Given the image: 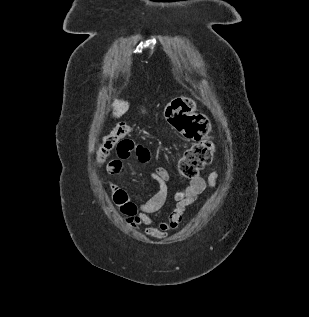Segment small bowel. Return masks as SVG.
Segmentation results:
<instances>
[{
	"mask_svg": "<svg viewBox=\"0 0 309 317\" xmlns=\"http://www.w3.org/2000/svg\"><path fill=\"white\" fill-rule=\"evenodd\" d=\"M134 148V145L130 141L125 143L124 150L118 151L119 157L107 164L106 170L109 176H120L124 173L125 161L131 155L135 154ZM135 155L143 164H147L150 161V153L146 148L142 154ZM219 176L220 170H215L209 174L207 179L203 177L195 178L191 180L185 190L171 193L168 185L169 175L167 171L160 164H156L151 172V177L157 182L158 190L141 205H137L132 201L127 191L119 185L109 182L108 188L112 201L120 213L123 214L126 223L130 227L140 230L154 239L162 240L171 231L179 227L183 213L187 207L194 205L206 189L214 190L216 188ZM169 196H171L174 203V209L165 220L156 224L151 215L164 206Z\"/></svg>",
	"mask_w": 309,
	"mask_h": 317,
	"instance_id": "small-bowel-1",
	"label": "small bowel"
}]
</instances>
